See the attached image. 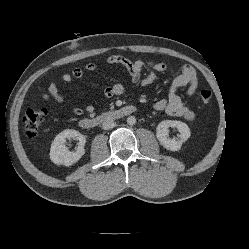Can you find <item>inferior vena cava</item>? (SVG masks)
I'll use <instances>...</instances> for the list:
<instances>
[{"label": "inferior vena cava", "mask_w": 249, "mask_h": 249, "mask_svg": "<svg viewBox=\"0 0 249 249\" xmlns=\"http://www.w3.org/2000/svg\"><path fill=\"white\" fill-rule=\"evenodd\" d=\"M115 125H116L115 121L112 120V119H109V120H106V121L103 122L102 128H103L104 130H109V129L114 128Z\"/></svg>", "instance_id": "obj_1"}]
</instances>
